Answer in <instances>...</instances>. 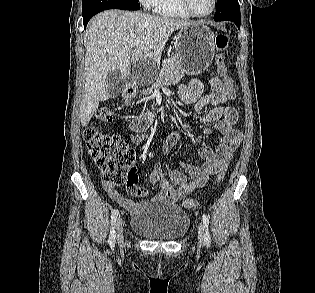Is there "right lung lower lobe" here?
Instances as JSON below:
<instances>
[{"label": "right lung lower lobe", "instance_id": "1", "mask_svg": "<svg viewBox=\"0 0 315 293\" xmlns=\"http://www.w3.org/2000/svg\"><path fill=\"white\" fill-rule=\"evenodd\" d=\"M107 9L138 10L140 4L128 0H83L82 14L84 28L95 14Z\"/></svg>", "mask_w": 315, "mask_h": 293}]
</instances>
